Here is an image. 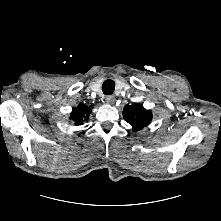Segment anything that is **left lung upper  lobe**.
<instances>
[{
    "label": "left lung upper lobe",
    "instance_id": "left-lung-upper-lobe-1",
    "mask_svg": "<svg viewBox=\"0 0 221 221\" xmlns=\"http://www.w3.org/2000/svg\"><path fill=\"white\" fill-rule=\"evenodd\" d=\"M123 117L132 126L133 131H137L151 122L152 113L145 110L141 104H133L125 106Z\"/></svg>",
    "mask_w": 221,
    "mask_h": 221
}]
</instances>
